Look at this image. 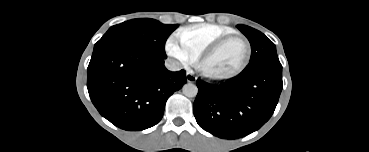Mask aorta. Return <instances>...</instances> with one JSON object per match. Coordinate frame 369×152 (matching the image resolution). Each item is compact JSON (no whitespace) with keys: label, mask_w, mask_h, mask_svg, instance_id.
Here are the masks:
<instances>
[{"label":"aorta","mask_w":369,"mask_h":152,"mask_svg":"<svg viewBox=\"0 0 369 152\" xmlns=\"http://www.w3.org/2000/svg\"><path fill=\"white\" fill-rule=\"evenodd\" d=\"M182 92L187 97H195L198 93V88L193 83H186L182 87Z\"/></svg>","instance_id":"aorta-1"}]
</instances>
